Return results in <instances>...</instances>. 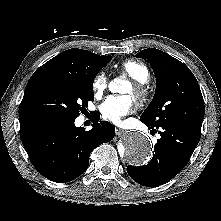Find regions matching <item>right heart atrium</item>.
<instances>
[{"label":"right heart atrium","mask_w":221,"mask_h":221,"mask_svg":"<svg viewBox=\"0 0 221 221\" xmlns=\"http://www.w3.org/2000/svg\"><path fill=\"white\" fill-rule=\"evenodd\" d=\"M108 86V79L104 72H98L92 81V90L96 98L101 97Z\"/></svg>","instance_id":"d8ad5b80"}]
</instances>
